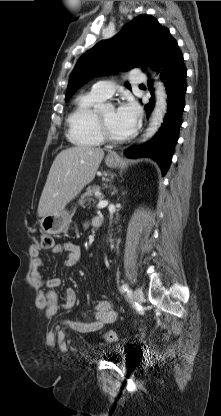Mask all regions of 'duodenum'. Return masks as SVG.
<instances>
[{
    "label": "duodenum",
    "instance_id": "duodenum-1",
    "mask_svg": "<svg viewBox=\"0 0 221 416\" xmlns=\"http://www.w3.org/2000/svg\"><path fill=\"white\" fill-rule=\"evenodd\" d=\"M102 223H103V220L101 219V218H98L97 219V223H96V226H101L102 225Z\"/></svg>",
    "mask_w": 221,
    "mask_h": 416
}]
</instances>
